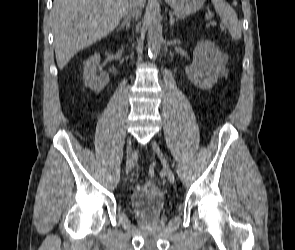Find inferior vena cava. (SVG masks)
Wrapping results in <instances>:
<instances>
[{
  "instance_id": "obj_1",
  "label": "inferior vena cava",
  "mask_w": 295,
  "mask_h": 250,
  "mask_svg": "<svg viewBox=\"0 0 295 250\" xmlns=\"http://www.w3.org/2000/svg\"><path fill=\"white\" fill-rule=\"evenodd\" d=\"M141 9V0H129L124 8L123 16L128 20L134 17L138 19L141 15Z\"/></svg>"
}]
</instances>
